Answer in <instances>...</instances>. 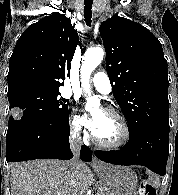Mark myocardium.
<instances>
[{
	"mask_svg": "<svg viewBox=\"0 0 178 195\" xmlns=\"http://www.w3.org/2000/svg\"><path fill=\"white\" fill-rule=\"evenodd\" d=\"M104 112L115 117L119 121L122 127V130H123L122 138L119 141L114 142V143H106V142L99 140L97 136L93 133V141L97 146L105 148V149L115 150V149L122 148L129 142L130 137H131V131H130L129 125L127 121L125 120V118L118 111L112 108H107L104 110Z\"/></svg>",
	"mask_w": 178,
	"mask_h": 195,
	"instance_id": "obj_1",
	"label": "myocardium"
}]
</instances>
